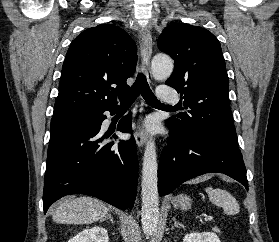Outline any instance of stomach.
Listing matches in <instances>:
<instances>
[{
  "instance_id": "0dacf381",
  "label": "stomach",
  "mask_w": 279,
  "mask_h": 242,
  "mask_svg": "<svg viewBox=\"0 0 279 242\" xmlns=\"http://www.w3.org/2000/svg\"><path fill=\"white\" fill-rule=\"evenodd\" d=\"M173 204L175 207L187 210L191 207V199L187 195L180 194L173 199Z\"/></svg>"
}]
</instances>
